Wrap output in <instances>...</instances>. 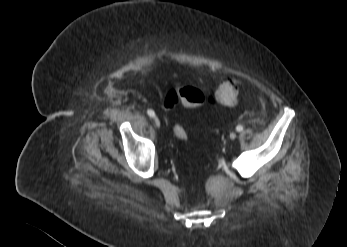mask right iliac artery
<instances>
[{
  "mask_svg": "<svg viewBox=\"0 0 347 247\" xmlns=\"http://www.w3.org/2000/svg\"><path fill=\"white\" fill-rule=\"evenodd\" d=\"M147 114H148L150 117H155V112H154L153 110H151V109H149V110L147 111Z\"/></svg>",
  "mask_w": 347,
  "mask_h": 247,
  "instance_id": "obj_1",
  "label": "right iliac artery"
}]
</instances>
